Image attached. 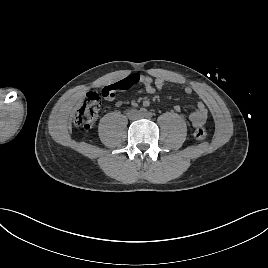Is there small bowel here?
<instances>
[{
  "mask_svg": "<svg viewBox=\"0 0 268 268\" xmlns=\"http://www.w3.org/2000/svg\"><path fill=\"white\" fill-rule=\"evenodd\" d=\"M126 78H132L136 81V84L142 85V87L138 90L139 94H142V93L154 94L157 91L171 88L170 86H168L167 82L161 77L154 78V77L142 75V74H132ZM193 92L194 90L190 86H187L184 88V93L187 95H191ZM143 104L148 105L149 102L147 100H144ZM121 105H122V102L118 101L117 106H121ZM175 110L180 111V107L175 106ZM207 117H208V110L205 104L203 102H198L195 110L190 114L189 119L193 127L198 128L205 124Z\"/></svg>",
  "mask_w": 268,
  "mask_h": 268,
  "instance_id": "small-bowel-1",
  "label": "small bowel"
}]
</instances>
